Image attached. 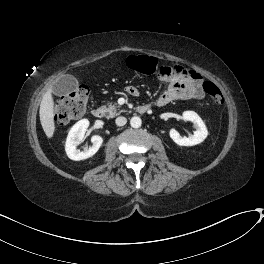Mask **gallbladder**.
Here are the masks:
<instances>
[{"mask_svg":"<svg viewBox=\"0 0 264 264\" xmlns=\"http://www.w3.org/2000/svg\"><path fill=\"white\" fill-rule=\"evenodd\" d=\"M78 80L72 75H65L54 84V91L57 94H67L76 90Z\"/></svg>","mask_w":264,"mask_h":264,"instance_id":"1","label":"gallbladder"}]
</instances>
